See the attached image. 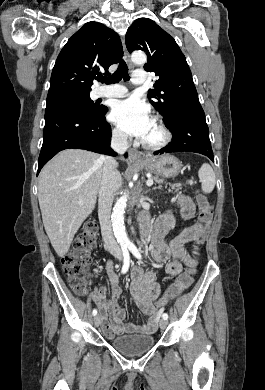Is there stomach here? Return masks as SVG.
I'll return each mask as SVG.
<instances>
[{
    "instance_id": "stomach-1",
    "label": "stomach",
    "mask_w": 265,
    "mask_h": 390,
    "mask_svg": "<svg viewBox=\"0 0 265 390\" xmlns=\"http://www.w3.org/2000/svg\"><path fill=\"white\" fill-rule=\"evenodd\" d=\"M141 166L157 176L173 178L179 174L182 163L173 155H164L159 158H148Z\"/></svg>"
}]
</instances>
